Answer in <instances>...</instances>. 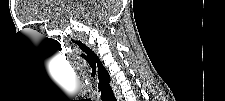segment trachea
I'll return each mask as SVG.
<instances>
[{"instance_id":"3493384b","label":"trachea","mask_w":225,"mask_h":101,"mask_svg":"<svg viewBox=\"0 0 225 101\" xmlns=\"http://www.w3.org/2000/svg\"><path fill=\"white\" fill-rule=\"evenodd\" d=\"M101 99L102 101H117L110 85L102 89Z\"/></svg>"}]
</instances>
